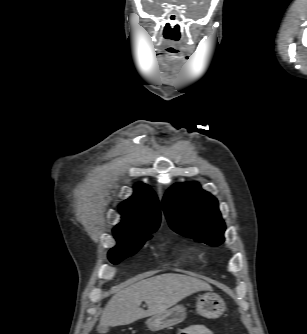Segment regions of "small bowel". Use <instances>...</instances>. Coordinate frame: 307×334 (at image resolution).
<instances>
[{
	"label": "small bowel",
	"mask_w": 307,
	"mask_h": 334,
	"mask_svg": "<svg viewBox=\"0 0 307 334\" xmlns=\"http://www.w3.org/2000/svg\"><path fill=\"white\" fill-rule=\"evenodd\" d=\"M179 334H214V333L208 327L197 324L186 327Z\"/></svg>",
	"instance_id": "obj_1"
}]
</instances>
